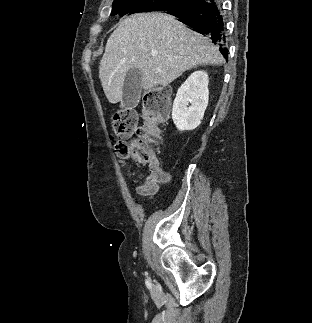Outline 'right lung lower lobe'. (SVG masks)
I'll return each instance as SVG.
<instances>
[{
  "label": "right lung lower lobe",
  "instance_id": "obj_1",
  "mask_svg": "<svg viewBox=\"0 0 312 323\" xmlns=\"http://www.w3.org/2000/svg\"><path fill=\"white\" fill-rule=\"evenodd\" d=\"M222 11L221 3L217 0H189L183 6L169 9L167 12L193 30L209 36L227 59V29Z\"/></svg>",
  "mask_w": 312,
  "mask_h": 323
}]
</instances>
